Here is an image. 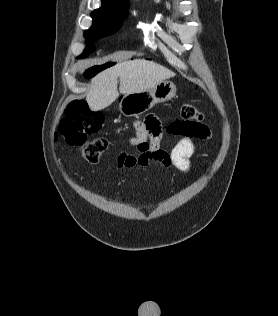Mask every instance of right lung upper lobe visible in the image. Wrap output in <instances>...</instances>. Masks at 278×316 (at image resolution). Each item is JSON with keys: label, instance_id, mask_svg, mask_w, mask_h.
<instances>
[{"label": "right lung upper lobe", "instance_id": "cb5924a9", "mask_svg": "<svg viewBox=\"0 0 278 316\" xmlns=\"http://www.w3.org/2000/svg\"><path fill=\"white\" fill-rule=\"evenodd\" d=\"M128 8V0H102V10H125Z\"/></svg>", "mask_w": 278, "mask_h": 316}]
</instances>
